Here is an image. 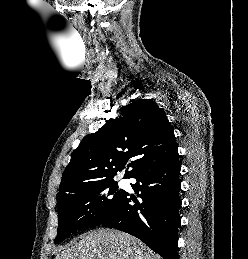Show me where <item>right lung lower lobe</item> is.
I'll return each mask as SVG.
<instances>
[{"label": "right lung lower lobe", "instance_id": "right-lung-lower-lobe-1", "mask_svg": "<svg viewBox=\"0 0 248 259\" xmlns=\"http://www.w3.org/2000/svg\"><path fill=\"white\" fill-rule=\"evenodd\" d=\"M180 162L172 158L146 167L131 178L141 192V203L126 192L115 214L101 224L129 233L149 246L164 259H179L177 229L180 226ZM136 204H130L131 201Z\"/></svg>", "mask_w": 248, "mask_h": 259}]
</instances>
